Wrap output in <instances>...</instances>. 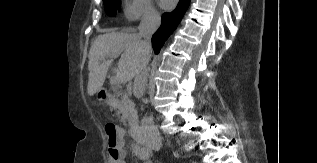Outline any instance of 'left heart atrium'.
<instances>
[{
  "instance_id": "39dd6f15",
  "label": "left heart atrium",
  "mask_w": 317,
  "mask_h": 163,
  "mask_svg": "<svg viewBox=\"0 0 317 163\" xmlns=\"http://www.w3.org/2000/svg\"><path fill=\"white\" fill-rule=\"evenodd\" d=\"M176 0H159L160 5L163 8H171L175 4Z\"/></svg>"
}]
</instances>
